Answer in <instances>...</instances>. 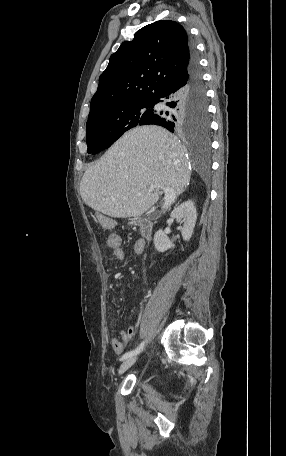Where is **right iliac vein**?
I'll list each match as a JSON object with an SVG mask.
<instances>
[{
	"label": "right iliac vein",
	"instance_id": "1",
	"mask_svg": "<svg viewBox=\"0 0 286 456\" xmlns=\"http://www.w3.org/2000/svg\"><path fill=\"white\" fill-rule=\"evenodd\" d=\"M137 360V357H131L126 359L119 367L118 375H122L125 371H127Z\"/></svg>",
	"mask_w": 286,
	"mask_h": 456
}]
</instances>
